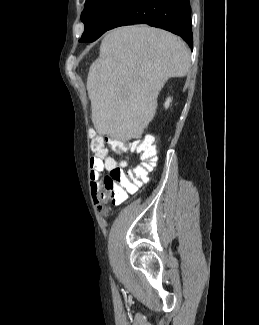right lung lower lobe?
<instances>
[{
  "instance_id": "98d812e1",
  "label": "right lung lower lobe",
  "mask_w": 259,
  "mask_h": 325,
  "mask_svg": "<svg viewBox=\"0 0 259 325\" xmlns=\"http://www.w3.org/2000/svg\"><path fill=\"white\" fill-rule=\"evenodd\" d=\"M133 24H148L179 35L192 48L189 0H128L108 30Z\"/></svg>"
}]
</instances>
